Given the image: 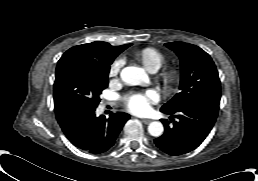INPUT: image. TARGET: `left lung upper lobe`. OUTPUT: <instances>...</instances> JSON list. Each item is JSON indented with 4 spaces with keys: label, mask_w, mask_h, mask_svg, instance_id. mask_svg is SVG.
Wrapping results in <instances>:
<instances>
[{
    "label": "left lung upper lobe",
    "mask_w": 258,
    "mask_h": 181,
    "mask_svg": "<svg viewBox=\"0 0 258 181\" xmlns=\"http://www.w3.org/2000/svg\"><path fill=\"white\" fill-rule=\"evenodd\" d=\"M181 61V92L161 108L176 112L199 103H220L221 86L216 66L211 57L198 46L184 43H166Z\"/></svg>",
    "instance_id": "obj_1"
}]
</instances>
